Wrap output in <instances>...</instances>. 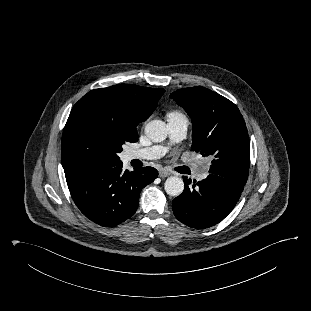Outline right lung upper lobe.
Listing matches in <instances>:
<instances>
[{"instance_id":"cb5924a9","label":"right lung upper lobe","mask_w":311,"mask_h":311,"mask_svg":"<svg viewBox=\"0 0 311 311\" xmlns=\"http://www.w3.org/2000/svg\"><path fill=\"white\" fill-rule=\"evenodd\" d=\"M164 92L165 90L162 88L117 84L107 88L94 89L87 93L80 102L102 101L116 118L120 127L131 138H136V126L153 113Z\"/></svg>"}]
</instances>
